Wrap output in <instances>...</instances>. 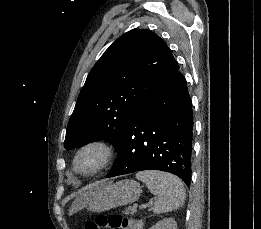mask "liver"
Here are the masks:
<instances>
[{
	"mask_svg": "<svg viewBox=\"0 0 261 229\" xmlns=\"http://www.w3.org/2000/svg\"><path fill=\"white\" fill-rule=\"evenodd\" d=\"M85 199H86V193H84V195H82V197H78L77 201H84V203H85Z\"/></svg>",
	"mask_w": 261,
	"mask_h": 229,
	"instance_id": "1",
	"label": "liver"
}]
</instances>
